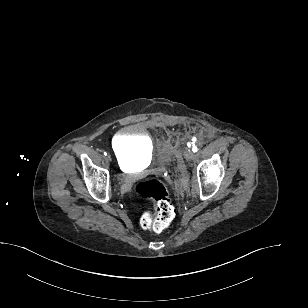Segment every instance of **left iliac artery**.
I'll list each match as a JSON object with an SVG mask.
<instances>
[{"mask_svg": "<svg viewBox=\"0 0 308 308\" xmlns=\"http://www.w3.org/2000/svg\"><path fill=\"white\" fill-rule=\"evenodd\" d=\"M192 151L193 152H197L198 151V147L197 146H193Z\"/></svg>", "mask_w": 308, "mask_h": 308, "instance_id": "44dca946", "label": "left iliac artery"}]
</instances>
